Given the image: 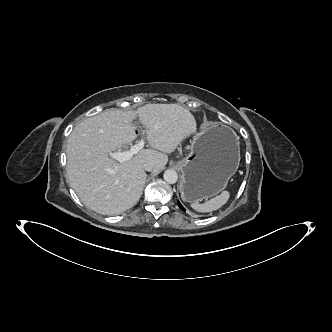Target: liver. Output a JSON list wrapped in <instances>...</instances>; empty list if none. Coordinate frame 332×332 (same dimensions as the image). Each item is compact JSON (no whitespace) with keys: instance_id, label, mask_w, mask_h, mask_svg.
<instances>
[{"instance_id":"6515ba94","label":"liver","mask_w":332,"mask_h":332,"mask_svg":"<svg viewBox=\"0 0 332 332\" xmlns=\"http://www.w3.org/2000/svg\"><path fill=\"white\" fill-rule=\"evenodd\" d=\"M139 117L151 148L119 162L110 154L135 138L132 121ZM196 120L178 104H147L137 111L111 110L79 123L67 141V175L81 201L101 214H118L131 208L142 195L146 162L160 172L168 155L196 132Z\"/></svg>"}]
</instances>
